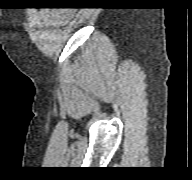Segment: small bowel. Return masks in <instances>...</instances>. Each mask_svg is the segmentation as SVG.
<instances>
[{"label":"small bowel","mask_w":192,"mask_h":180,"mask_svg":"<svg viewBox=\"0 0 192 180\" xmlns=\"http://www.w3.org/2000/svg\"><path fill=\"white\" fill-rule=\"evenodd\" d=\"M60 15L61 14L56 11H40L37 17L38 23L45 26L54 25L59 19Z\"/></svg>","instance_id":"c3829d8e"}]
</instances>
